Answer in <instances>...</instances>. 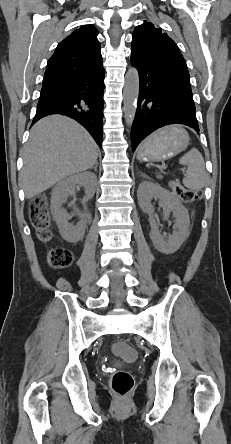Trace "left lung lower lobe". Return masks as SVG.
<instances>
[{
    "label": "left lung lower lobe",
    "instance_id": "left-lung-lower-lobe-1",
    "mask_svg": "<svg viewBox=\"0 0 231 444\" xmlns=\"http://www.w3.org/2000/svg\"><path fill=\"white\" fill-rule=\"evenodd\" d=\"M139 73V98L132 125L133 151L154 130L184 124L199 131L190 80L169 67L131 58Z\"/></svg>",
    "mask_w": 231,
    "mask_h": 444
}]
</instances>
